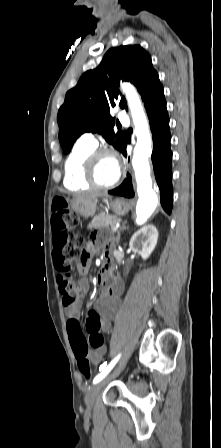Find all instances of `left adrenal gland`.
<instances>
[{"mask_svg": "<svg viewBox=\"0 0 221 448\" xmlns=\"http://www.w3.org/2000/svg\"><path fill=\"white\" fill-rule=\"evenodd\" d=\"M125 228H126V222H124V223L122 224V226L120 227V230H119L118 233H117V237H116V240H117V241L120 240V231L123 230V229H125Z\"/></svg>", "mask_w": 221, "mask_h": 448, "instance_id": "left-adrenal-gland-1", "label": "left adrenal gland"}]
</instances>
